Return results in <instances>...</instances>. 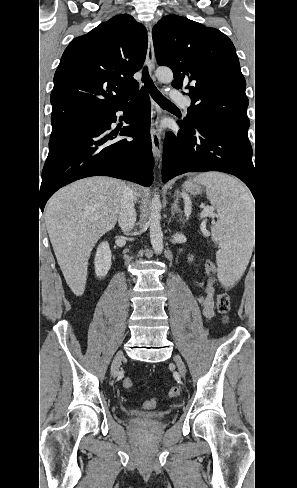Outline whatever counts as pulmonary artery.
I'll list each match as a JSON object with an SVG mask.
<instances>
[{
  "label": "pulmonary artery",
  "mask_w": 297,
  "mask_h": 488,
  "mask_svg": "<svg viewBox=\"0 0 297 488\" xmlns=\"http://www.w3.org/2000/svg\"><path fill=\"white\" fill-rule=\"evenodd\" d=\"M171 99L181 105L183 108H187L190 104L189 100L180 93L172 92Z\"/></svg>",
  "instance_id": "pulmonary-artery-1"
}]
</instances>
